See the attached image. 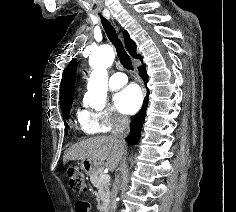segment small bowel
I'll return each mask as SVG.
<instances>
[{
  "mask_svg": "<svg viewBox=\"0 0 236 212\" xmlns=\"http://www.w3.org/2000/svg\"><path fill=\"white\" fill-rule=\"evenodd\" d=\"M75 212H90V199H75Z\"/></svg>",
  "mask_w": 236,
  "mask_h": 212,
  "instance_id": "c3829d8e",
  "label": "small bowel"
}]
</instances>
